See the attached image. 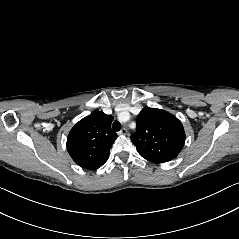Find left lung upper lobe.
Instances as JSON below:
<instances>
[{"label":"left lung upper lobe","instance_id":"1","mask_svg":"<svg viewBox=\"0 0 239 239\" xmlns=\"http://www.w3.org/2000/svg\"><path fill=\"white\" fill-rule=\"evenodd\" d=\"M130 138L143 158L164 163L179 154L184 146L185 132L174 115L147 107L139 113L136 132Z\"/></svg>","mask_w":239,"mask_h":239}]
</instances>
